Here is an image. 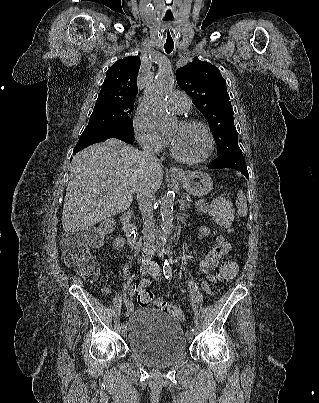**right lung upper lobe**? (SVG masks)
<instances>
[{"label":"right lung upper lobe","mask_w":319,"mask_h":403,"mask_svg":"<svg viewBox=\"0 0 319 403\" xmlns=\"http://www.w3.org/2000/svg\"><path fill=\"white\" fill-rule=\"evenodd\" d=\"M139 68L137 56L118 60L108 69L96 102L134 104Z\"/></svg>","instance_id":"cb5924a9"}]
</instances>
